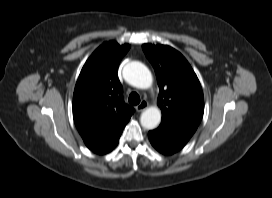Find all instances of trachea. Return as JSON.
Returning a JSON list of instances; mask_svg holds the SVG:
<instances>
[{
  "label": "trachea",
  "mask_w": 272,
  "mask_h": 198,
  "mask_svg": "<svg viewBox=\"0 0 272 198\" xmlns=\"http://www.w3.org/2000/svg\"><path fill=\"white\" fill-rule=\"evenodd\" d=\"M128 101L132 105H138L140 103V96L136 92H132L129 95Z\"/></svg>",
  "instance_id": "obj_1"
}]
</instances>
